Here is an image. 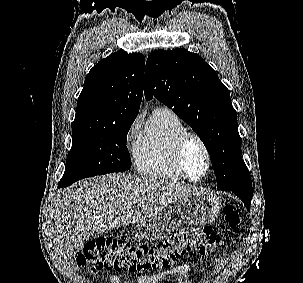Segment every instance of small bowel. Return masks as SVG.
I'll use <instances>...</instances> for the list:
<instances>
[{"instance_id":"1","label":"small bowel","mask_w":303,"mask_h":283,"mask_svg":"<svg viewBox=\"0 0 303 283\" xmlns=\"http://www.w3.org/2000/svg\"><path fill=\"white\" fill-rule=\"evenodd\" d=\"M189 272V266L187 264H180L172 268L167 272H162L154 275H139L137 283H161L167 279L183 276L187 277ZM185 279V278H184ZM110 283H128L126 280H121L119 276L113 275L109 278Z\"/></svg>"}]
</instances>
